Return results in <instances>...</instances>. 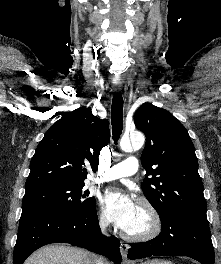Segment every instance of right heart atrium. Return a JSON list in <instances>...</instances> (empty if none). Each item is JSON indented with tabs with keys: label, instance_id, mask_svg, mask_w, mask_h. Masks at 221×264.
Wrapping results in <instances>:
<instances>
[{
	"label": "right heart atrium",
	"instance_id": "1",
	"mask_svg": "<svg viewBox=\"0 0 221 264\" xmlns=\"http://www.w3.org/2000/svg\"><path fill=\"white\" fill-rule=\"evenodd\" d=\"M98 224L101 228H106L108 226V222L103 215H100L98 218Z\"/></svg>",
	"mask_w": 221,
	"mask_h": 264
}]
</instances>
